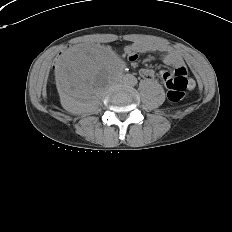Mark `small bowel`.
Wrapping results in <instances>:
<instances>
[{
  "mask_svg": "<svg viewBox=\"0 0 232 232\" xmlns=\"http://www.w3.org/2000/svg\"><path fill=\"white\" fill-rule=\"evenodd\" d=\"M126 52L130 55V60L134 63L137 59L136 54L160 52L162 53V61L165 64L172 66L175 70V74H182L187 76V68L180 53L177 50L172 49L164 44L149 41H135L126 48ZM140 75L145 79H152L154 73L152 70L144 68L140 70ZM169 76H171V74L166 71L161 73L163 80ZM189 80V88L192 89L195 87V82L193 79L189 78Z\"/></svg>",
  "mask_w": 232,
  "mask_h": 232,
  "instance_id": "c3829d8e",
  "label": "small bowel"
}]
</instances>
